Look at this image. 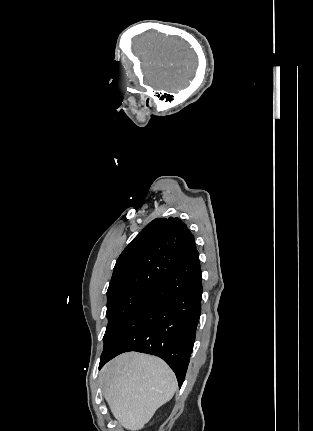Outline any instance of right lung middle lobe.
<instances>
[{"label": "right lung middle lobe", "mask_w": 313, "mask_h": 431, "mask_svg": "<svg viewBox=\"0 0 313 431\" xmlns=\"http://www.w3.org/2000/svg\"><path fill=\"white\" fill-rule=\"evenodd\" d=\"M150 292H124L107 296L108 325L103 337L104 346L113 338L130 314Z\"/></svg>", "instance_id": "1"}]
</instances>
